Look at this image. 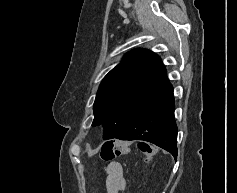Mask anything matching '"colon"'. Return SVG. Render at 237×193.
<instances>
[{
    "label": "colon",
    "instance_id": "obj_1",
    "mask_svg": "<svg viewBox=\"0 0 237 193\" xmlns=\"http://www.w3.org/2000/svg\"><path fill=\"white\" fill-rule=\"evenodd\" d=\"M139 149L143 153L146 160H150L154 155L152 148L145 143L139 144ZM128 151L129 144L127 142L109 141L103 144L100 151V157L105 162H111L116 157L128 153Z\"/></svg>",
    "mask_w": 237,
    "mask_h": 193
}]
</instances>
